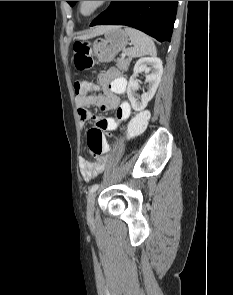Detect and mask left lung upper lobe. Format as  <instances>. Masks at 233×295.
<instances>
[{
    "instance_id": "5c2ea615",
    "label": "left lung upper lobe",
    "mask_w": 233,
    "mask_h": 295,
    "mask_svg": "<svg viewBox=\"0 0 233 295\" xmlns=\"http://www.w3.org/2000/svg\"><path fill=\"white\" fill-rule=\"evenodd\" d=\"M71 6L75 5V1H67Z\"/></svg>"
}]
</instances>
